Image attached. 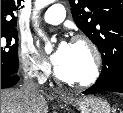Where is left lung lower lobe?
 <instances>
[{
  "label": "left lung lower lobe",
  "instance_id": "left-lung-lower-lobe-1",
  "mask_svg": "<svg viewBox=\"0 0 123 113\" xmlns=\"http://www.w3.org/2000/svg\"><path fill=\"white\" fill-rule=\"evenodd\" d=\"M105 91L123 93V72H120L118 77L109 84H106V83H103V82L97 80L96 83L92 87L85 90L83 93L97 94V93H102Z\"/></svg>",
  "mask_w": 123,
  "mask_h": 113
}]
</instances>
